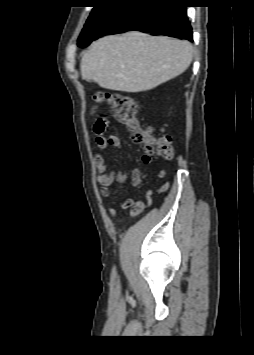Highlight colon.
<instances>
[{"instance_id":"colon-1","label":"colon","mask_w":254,"mask_h":355,"mask_svg":"<svg viewBox=\"0 0 254 355\" xmlns=\"http://www.w3.org/2000/svg\"><path fill=\"white\" fill-rule=\"evenodd\" d=\"M94 98L96 102H107L112 106L117 121L130 129L132 141L135 144L143 145L148 155L164 160H170L173 157L171 137L169 135L155 137L151 130L141 127L136 117V103L131 96L121 92L98 91ZM107 123L108 119H99L96 130L103 131ZM168 188L169 183L166 182L161 190Z\"/></svg>"}]
</instances>
